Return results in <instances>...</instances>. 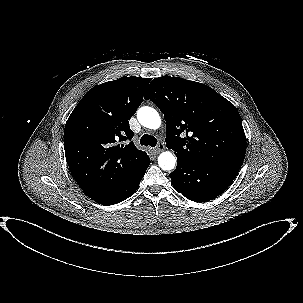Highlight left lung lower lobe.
Here are the masks:
<instances>
[{"label": "left lung lower lobe", "mask_w": 303, "mask_h": 303, "mask_svg": "<svg viewBox=\"0 0 303 303\" xmlns=\"http://www.w3.org/2000/svg\"><path fill=\"white\" fill-rule=\"evenodd\" d=\"M177 167L169 174L175 190L187 199L206 202L223 193L238 174L240 165L199 162L177 156Z\"/></svg>", "instance_id": "0a47b994"}]
</instances>
